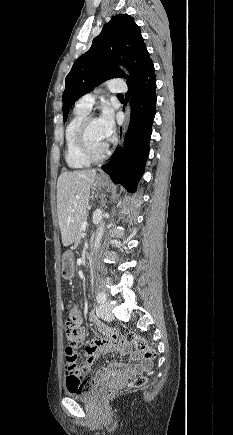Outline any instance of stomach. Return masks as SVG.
Returning <instances> with one entry per match:
<instances>
[{"label":"stomach","mask_w":233,"mask_h":435,"mask_svg":"<svg viewBox=\"0 0 233 435\" xmlns=\"http://www.w3.org/2000/svg\"><path fill=\"white\" fill-rule=\"evenodd\" d=\"M107 178L105 176H97L95 179V186L101 187L106 184ZM75 274L74 257L72 252L67 251L62 256V270L61 275L64 279H72Z\"/></svg>","instance_id":"obj_1"}]
</instances>
